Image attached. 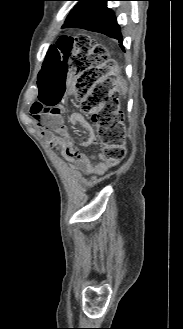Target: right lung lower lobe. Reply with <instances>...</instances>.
I'll return each mask as SVG.
<instances>
[{
    "instance_id": "1",
    "label": "right lung lower lobe",
    "mask_w": 183,
    "mask_h": 329,
    "mask_svg": "<svg viewBox=\"0 0 183 329\" xmlns=\"http://www.w3.org/2000/svg\"><path fill=\"white\" fill-rule=\"evenodd\" d=\"M78 1L66 19L67 26L103 33L117 39L123 48L120 27L114 12L107 8L108 0Z\"/></svg>"
}]
</instances>
